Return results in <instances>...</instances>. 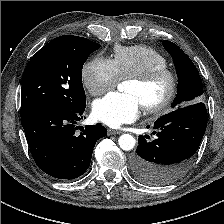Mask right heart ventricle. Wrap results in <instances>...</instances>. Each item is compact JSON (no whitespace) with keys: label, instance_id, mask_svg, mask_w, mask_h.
<instances>
[{"label":"right heart ventricle","instance_id":"right-heart-ventricle-1","mask_svg":"<svg viewBox=\"0 0 224 224\" xmlns=\"http://www.w3.org/2000/svg\"><path fill=\"white\" fill-rule=\"evenodd\" d=\"M112 61L121 79H128L167 65L165 56L141 45L116 47Z\"/></svg>","mask_w":224,"mask_h":224}]
</instances>
